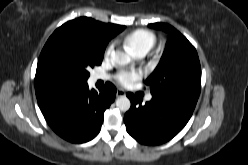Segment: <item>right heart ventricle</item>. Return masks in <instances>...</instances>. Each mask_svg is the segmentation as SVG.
<instances>
[{
	"instance_id": "1",
	"label": "right heart ventricle",
	"mask_w": 248,
	"mask_h": 165,
	"mask_svg": "<svg viewBox=\"0 0 248 165\" xmlns=\"http://www.w3.org/2000/svg\"><path fill=\"white\" fill-rule=\"evenodd\" d=\"M124 44L135 54L147 53L156 43V35L147 29H137L125 36Z\"/></svg>"
}]
</instances>
